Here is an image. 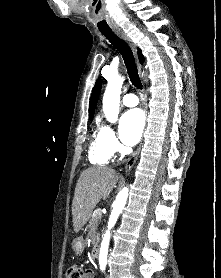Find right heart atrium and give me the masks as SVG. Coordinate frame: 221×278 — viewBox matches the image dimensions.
<instances>
[{
  "label": "right heart atrium",
  "mask_w": 221,
  "mask_h": 278,
  "mask_svg": "<svg viewBox=\"0 0 221 278\" xmlns=\"http://www.w3.org/2000/svg\"><path fill=\"white\" fill-rule=\"evenodd\" d=\"M100 135L112 155L120 151V143L116 137L114 130L110 126H102L100 129Z\"/></svg>",
  "instance_id": "1"
}]
</instances>
